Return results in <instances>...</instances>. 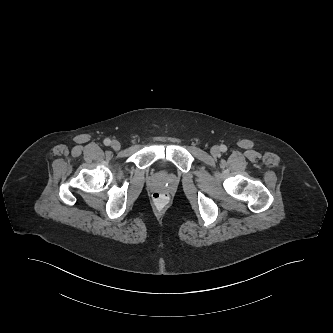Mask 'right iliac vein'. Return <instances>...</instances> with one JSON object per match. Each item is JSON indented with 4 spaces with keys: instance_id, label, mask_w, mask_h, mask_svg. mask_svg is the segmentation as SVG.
<instances>
[{
    "instance_id": "63e3f726",
    "label": "right iliac vein",
    "mask_w": 333,
    "mask_h": 333,
    "mask_svg": "<svg viewBox=\"0 0 333 333\" xmlns=\"http://www.w3.org/2000/svg\"><path fill=\"white\" fill-rule=\"evenodd\" d=\"M111 147L114 149V150H119L120 148H121V144H120V142L119 141H117V140H113L112 142H111Z\"/></svg>"
}]
</instances>
